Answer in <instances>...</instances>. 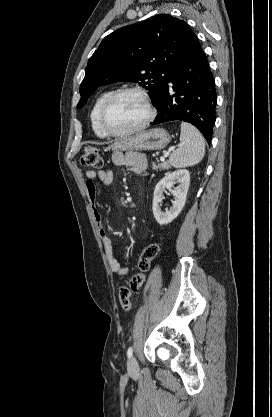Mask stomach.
<instances>
[{"label": "stomach", "mask_w": 272, "mask_h": 417, "mask_svg": "<svg viewBox=\"0 0 272 417\" xmlns=\"http://www.w3.org/2000/svg\"><path fill=\"white\" fill-rule=\"evenodd\" d=\"M169 133L163 128L142 131L128 139L114 143L113 150L152 151L165 148L170 142Z\"/></svg>", "instance_id": "obj_1"}]
</instances>
